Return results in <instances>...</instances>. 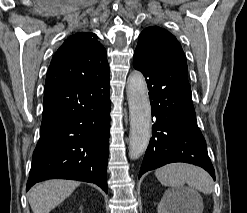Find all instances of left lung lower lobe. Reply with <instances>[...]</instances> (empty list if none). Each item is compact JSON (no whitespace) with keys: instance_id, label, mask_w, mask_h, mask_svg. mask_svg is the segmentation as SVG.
<instances>
[{"instance_id":"0a47b994","label":"left lung lower lobe","mask_w":247,"mask_h":213,"mask_svg":"<svg viewBox=\"0 0 247 213\" xmlns=\"http://www.w3.org/2000/svg\"><path fill=\"white\" fill-rule=\"evenodd\" d=\"M133 65L146 78L155 122L139 178L165 164L186 162L204 168L215 180L206 142L197 125L187 66Z\"/></svg>"}]
</instances>
